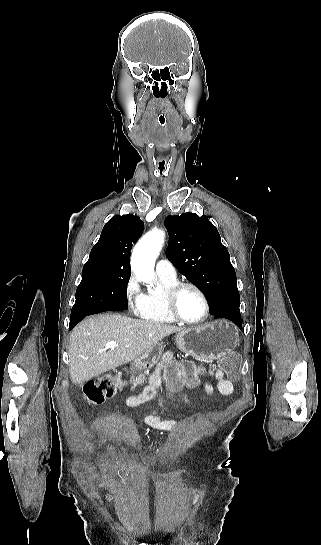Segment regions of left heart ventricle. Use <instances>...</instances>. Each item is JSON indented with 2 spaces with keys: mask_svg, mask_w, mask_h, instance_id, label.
<instances>
[{
  "mask_svg": "<svg viewBox=\"0 0 321 545\" xmlns=\"http://www.w3.org/2000/svg\"><path fill=\"white\" fill-rule=\"evenodd\" d=\"M177 311L181 318L194 322L204 314V305L199 294L190 288L184 289L177 298Z\"/></svg>",
  "mask_w": 321,
  "mask_h": 545,
  "instance_id": "left-heart-ventricle-1",
  "label": "left heart ventricle"
}]
</instances>
